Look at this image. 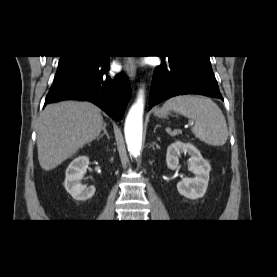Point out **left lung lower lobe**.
I'll return each mask as SVG.
<instances>
[{
	"label": "left lung lower lobe",
	"instance_id": "left-lung-lower-lobe-1",
	"mask_svg": "<svg viewBox=\"0 0 277 277\" xmlns=\"http://www.w3.org/2000/svg\"><path fill=\"white\" fill-rule=\"evenodd\" d=\"M182 94H199L224 101L208 56H162L161 65L153 73L149 109Z\"/></svg>",
	"mask_w": 277,
	"mask_h": 277
}]
</instances>
